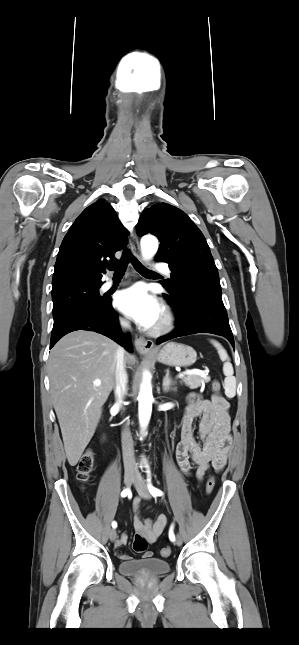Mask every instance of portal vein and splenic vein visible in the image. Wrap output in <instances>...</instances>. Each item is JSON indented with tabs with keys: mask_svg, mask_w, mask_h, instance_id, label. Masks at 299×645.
<instances>
[{
	"mask_svg": "<svg viewBox=\"0 0 299 645\" xmlns=\"http://www.w3.org/2000/svg\"><path fill=\"white\" fill-rule=\"evenodd\" d=\"M194 374H195V375H201V376H204V375H205V373H204L203 371L198 370V369H193V370L185 371V372H183V373L179 374V375H178V378H182V377H184L185 375H194ZM93 383H94V385H95V386H100V385H101V381H100V380H95Z\"/></svg>",
	"mask_w": 299,
	"mask_h": 645,
	"instance_id": "18ae733b",
	"label": "portal vein and splenic vein"
}]
</instances>
